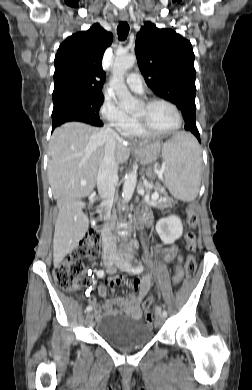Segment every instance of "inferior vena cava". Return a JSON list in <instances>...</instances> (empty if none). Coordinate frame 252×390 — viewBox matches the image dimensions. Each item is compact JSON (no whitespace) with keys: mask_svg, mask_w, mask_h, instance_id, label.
Segmentation results:
<instances>
[{"mask_svg":"<svg viewBox=\"0 0 252 390\" xmlns=\"http://www.w3.org/2000/svg\"><path fill=\"white\" fill-rule=\"evenodd\" d=\"M104 133L106 136L105 155L98 171L97 188L102 200L101 205L105 212L109 213L114 201L115 184L118 180V163L115 160V147L120 137L110 128H106ZM101 236L104 252H115L116 242L110 228L105 227L101 232Z\"/></svg>","mask_w":252,"mask_h":390,"instance_id":"602c4592","label":"inferior vena cava"}]
</instances>
